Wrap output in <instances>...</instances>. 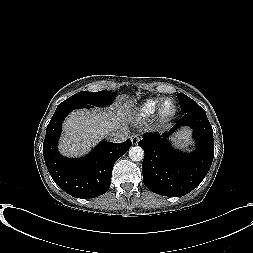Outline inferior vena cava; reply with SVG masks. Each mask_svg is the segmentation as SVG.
<instances>
[{
    "label": "inferior vena cava",
    "instance_id": "602c4592",
    "mask_svg": "<svg viewBox=\"0 0 253 253\" xmlns=\"http://www.w3.org/2000/svg\"><path fill=\"white\" fill-rule=\"evenodd\" d=\"M129 130L127 127L115 128L106 133V139L111 142H123L127 139Z\"/></svg>",
    "mask_w": 253,
    "mask_h": 253
}]
</instances>
